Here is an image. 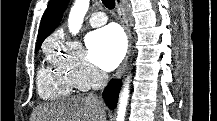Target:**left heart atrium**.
<instances>
[{
    "label": "left heart atrium",
    "instance_id": "left-heart-atrium-1",
    "mask_svg": "<svg viewBox=\"0 0 217 121\" xmlns=\"http://www.w3.org/2000/svg\"><path fill=\"white\" fill-rule=\"evenodd\" d=\"M86 42L91 61L101 70L114 69L124 55V37L116 26L111 25L92 32Z\"/></svg>",
    "mask_w": 217,
    "mask_h": 121
}]
</instances>
